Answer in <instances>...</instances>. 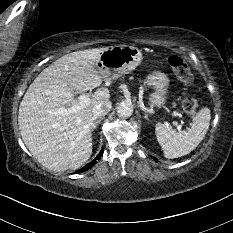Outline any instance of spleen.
<instances>
[{
    "label": "spleen",
    "instance_id": "3e777b00",
    "mask_svg": "<svg viewBox=\"0 0 233 233\" xmlns=\"http://www.w3.org/2000/svg\"><path fill=\"white\" fill-rule=\"evenodd\" d=\"M210 109L202 108L193 118V123L186 131L176 132L169 126L157 123L155 134L164 156L168 159L189 154L204 139L210 125Z\"/></svg>",
    "mask_w": 233,
    "mask_h": 233
}]
</instances>
